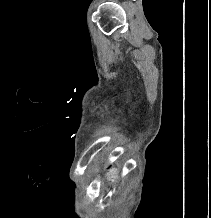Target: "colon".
Here are the masks:
<instances>
[{
  "label": "colon",
  "mask_w": 211,
  "mask_h": 218,
  "mask_svg": "<svg viewBox=\"0 0 211 218\" xmlns=\"http://www.w3.org/2000/svg\"><path fill=\"white\" fill-rule=\"evenodd\" d=\"M110 177L112 178V180L115 178V172L113 170H110Z\"/></svg>",
  "instance_id": "colon-1"
}]
</instances>
